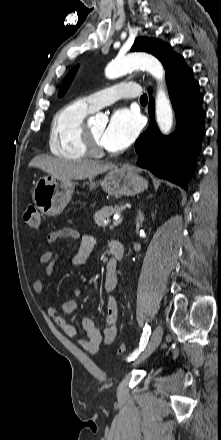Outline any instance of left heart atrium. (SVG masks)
I'll use <instances>...</instances> for the list:
<instances>
[{"instance_id": "1", "label": "left heart atrium", "mask_w": 221, "mask_h": 440, "mask_svg": "<svg viewBox=\"0 0 221 440\" xmlns=\"http://www.w3.org/2000/svg\"><path fill=\"white\" fill-rule=\"evenodd\" d=\"M141 129L139 115L128 108L117 109L111 116L101 137L103 147L121 150L128 147Z\"/></svg>"}]
</instances>
